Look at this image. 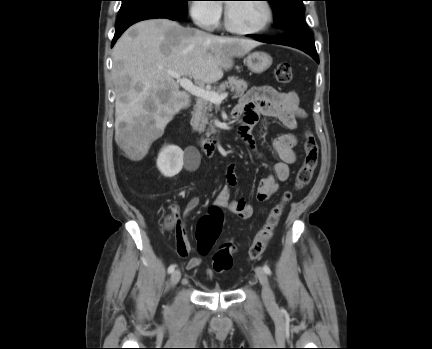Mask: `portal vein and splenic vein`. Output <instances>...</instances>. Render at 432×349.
Instances as JSON below:
<instances>
[{
	"instance_id": "obj_1",
	"label": "portal vein and splenic vein",
	"mask_w": 432,
	"mask_h": 349,
	"mask_svg": "<svg viewBox=\"0 0 432 349\" xmlns=\"http://www.w3.org/2000/svg\"><path fill=\"white\" fill-rule=\"evenodd\" d=\"M168 74L171 77L175 78L177 80V83L181 87H183L186 91L190 92L191 94L197 97H201L206 100H209L212 103L221 104V102L228 96V92L218 94L214 91L206 90L203 87L194 85L190 79L186 77H182V75L177 72L168 71Z\"/></svg>"
}]
</instances>
